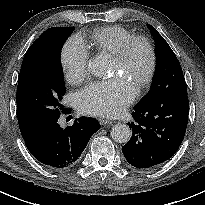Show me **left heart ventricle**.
Returning <instances> with one entry per match:
<instances>
[{
  "label": "left heart ventricle",
  "mask_w": 205,
  "mask_h": 205,
  "mask_svg": "<svg viewBox=\"0 0 205 205\" xmlns=\"http://www.w3.org/2000/svg\"><path fill=\"white\" fill-rule=\"evenodd\" d=\"M148 66V53L146 48L137 44L133 47L128 59L120 64L114 60L112 75H122L134 84L143 77Z\"/></svg>",
  "instance_id": "b2bd125f"
}]
</instances>
